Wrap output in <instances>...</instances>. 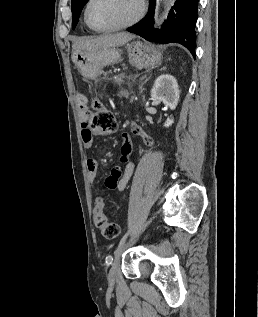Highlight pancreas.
<instances>
[{
    "instance_id": "obj_1",
    "label": "pancreas",
    "mask_w": 258,
    "mask_h": 317,
    "mask_svg": "<svg viewBox=\"0 0 258 317\" xmlns=\"http://www.w3.org/2000/svg\"><path fill=\"white\" fill-rule=\"evenodd\" d=\"M116 82L118 84H123L125 82V79L123 77H118L116 79ZM118 93H119L120 96H125L127 92H126L125 89H120Z\"/></svg>"
}]
</instances>
